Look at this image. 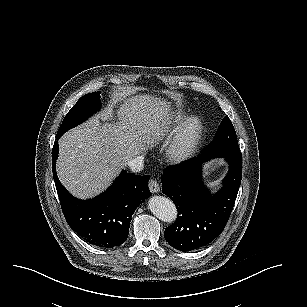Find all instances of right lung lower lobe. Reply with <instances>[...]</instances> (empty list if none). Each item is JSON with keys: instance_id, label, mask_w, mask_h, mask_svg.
Here are the masks:
<instances>
[{"instance_id": "right-lung-lower-lobe-1", "label": "right lung lower lobe", "mask_w": 307, "mask_h": 307, "mask_svg": "<svg viewBox=\"0 0 307 307\" xmlns=\"http://www.w3.org/2000/svg\"><path fill=\"white\" fill-rule=\"evenodd\" d=\"M59 138L53 146L52 168L68 225L88 244L106 249L120 246L127 240L135 209L150 196L147 186L150 176H138L124 170L104 193L87 201L77 199L65 189L56 174Z\"/></svg>"}]
</instances>
